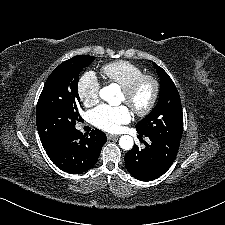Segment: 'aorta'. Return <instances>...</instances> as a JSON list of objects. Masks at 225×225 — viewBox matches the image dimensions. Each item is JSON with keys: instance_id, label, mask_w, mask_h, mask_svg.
<instances>
[{"instance_id": "aorta-1", "label": "aorta", "mask_w": 225, "mask_h": 225, "mask_svg": "<svg viewBox=\"0 0 225 225\" xmlns=\"http://www.w3.org/2000/svg\"><path fill=\"white\" fill-rule=\"evenodd\" d=\"M116 93L117 90L115 85L113 84L103 87L99 92L100 97L110 104H114V96L116 95ZM119 145L123 150H130L134 145L133 138L129 135H123L119 139Z\"/></svg>"}]
</instances>
